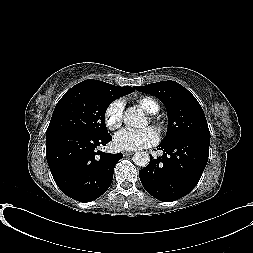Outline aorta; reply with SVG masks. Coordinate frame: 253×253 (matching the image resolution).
<instances>
[{
	"mask_svg": "<svg viewBox=\"0 0 253 253\" xmlns=\"http://www.w3.org/2000/svg\"><path fill=\"white\" fill-rule=\"evenodd\" d=\"M124 123L128 127L141 128L144 126V117L137 111L128 110L124 115ZM132 159L140 167H145L150 162V156L146 152H136Z\"/></svg>",
	"mask_w": 253,
	"mask_h": 253,
	"instance_id": "1",
	"label": "aorta"
}]
</instances>
